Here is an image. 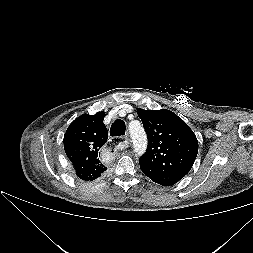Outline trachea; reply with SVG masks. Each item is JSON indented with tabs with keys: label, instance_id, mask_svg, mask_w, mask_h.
Masks as SVG:
<instances>
[{
	"label": "trachea",
	"instance_id": "1",
	"mask_svg": "<svg viewBox=\"0 0 253 253\" xmlns=\"http://www.w3.org/2000/svg\"><path fill=\"white\" fill-rule=\"evenodd\" d=\"M125 122L123 120H116L110 128L111 136H121L125 135Z\"/></svg>",
	"mask_w": 253,
	"mask_h": 253
}]
</instances>
